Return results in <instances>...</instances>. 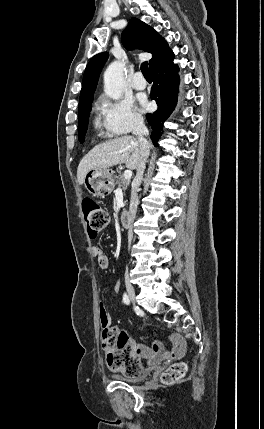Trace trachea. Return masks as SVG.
Listing matches in <instances>:
<instances>
[{
    "label": "trachea",
    "instance_id": "1",
    "mask_svg": "<svg viewBox=\"0 0 264 429\" xmlns=\"http://www.w3.org/2000/svg\"><path fill=\"white\" fill-rule=\"evenodd\" d=\"M141 71H142L143 76L145 78H150V75H149V72H148V64H147V62H143L141 64Z\"/></svg>",
    "mask_w": 264,
    "mask_h": 429
}]
</instances>
